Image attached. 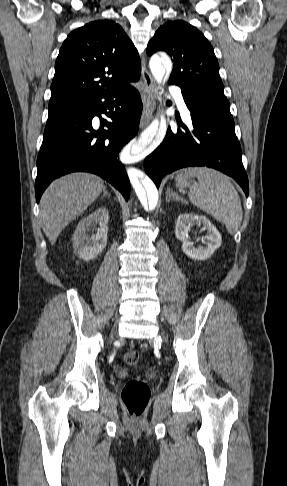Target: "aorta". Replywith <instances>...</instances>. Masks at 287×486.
<instances>
[{"label":"aorta","instance_id":"762f6f07","mask_svg":"<svg viewBox=\"0 0 287 486\" xmlns=\"http://www.w3.org/2000/svg\"><path fill=\"white\" fill-rule=\"evenodd\" d=\"M151 73L154 79L161 83L165 71L172 70L171 59L166 55H153L149 62ZM167 131L166 120L155 119L149 127L141 134L139 140L133 145L132 153L137 154L146 149H153L164 139ZM130 183L132 184L139 200L150 210H154L158 203V191L155 184L150 179L141 181L133 170L128 171Z\"/></svg>","mask_w":287,"mask_h":486}]
</instances>
